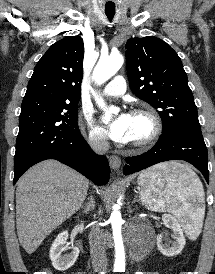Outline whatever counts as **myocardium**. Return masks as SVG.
<instances>
[{"instance_id": "f54148a6", "label": "myocardium", "mask_w": 215, "mask_h": 274, "mask_svg": "<svg viewBox=\"0 0 215 274\" xmlns=\"http://www.w3.org/2000/svg\"><path fill=\"white\" fill-rule=\"evenodd\" d=\"M132 115H140L146 117L150 122L149 134L136 141H129V144L136 148H145L153 144L162 133V121L158 113L150 107H139L132 111Z\"/></svg>"}]
</instances>
